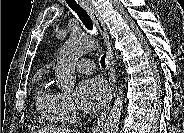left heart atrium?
Listing matches in <instances>:
<instances>
[{"mask_svg":"<svg viewBox=\"0 0 184 133\" xmlns=\"http://www.w3.org/2000/svg\"><path fill=\"white\" fill-rule=\"evenodd\" d=\"M109 98V89L100 78L83 80L76 88L77 105L86 112L99 110Z\"/></svg>","mask_w":184,"mask_h":133,"instance_id":"39dd6f15","label":"left heart atrium"}]
</instances>
